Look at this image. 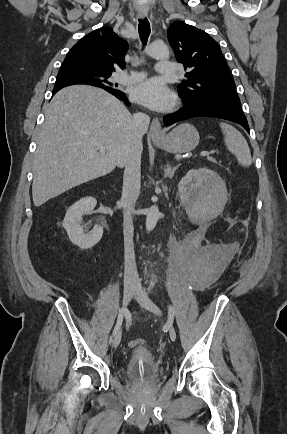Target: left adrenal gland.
I'll return each instance as SVG.
<instances>
[{"instance_id":"obj_1","label":"left adrenal gland","mask_w":287,"mask_h":434,"mask_svg":"<svg viewBox=\"0 0 287 434\" xmlns=\"http://www.w3.org/2000/svg\"><path fill=\"white\" fill-rule=\"evenodd\" d=\"M179 166H175L172 168L171 165L167 164L166 168L164 169V176L165 177H169L170 179L173 178L174 173L176 171V169H178Z\"/></svg>"}]
</instances>
